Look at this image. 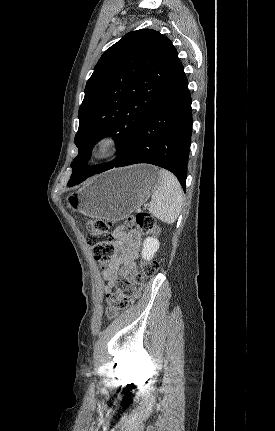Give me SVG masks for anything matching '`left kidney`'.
Listing matches in <instances>:
<instances>
[{
	"instance_id": "5707ae66",
	"label": "left kidney",
	"mask_w": 275,
	"mask_h": 431,
	"mask_svg": "<svg viewBox=\"0 0 275 431\" xmlns=\"http://www.w3.org/2000/svg\"><path fill=\"white\" fill-rule=\"evenodd\" d=\"M159 246L160 243L155 236L146 238L143 242V248L141 252L142 258L147 261L151 260L159 249Z\"/></svg>"
}]
</instances>
